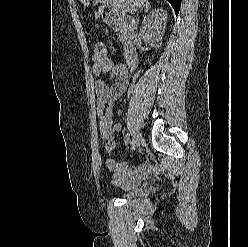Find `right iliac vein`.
I'll return each mask as SVG.
<instances>
[{
    "instance_id": "63e3f726",
    "label": "right iliac vein",
    "mask_w": 248,
    "mask_h": 247,
    "mask_svg": "<svg viewBox=\"0 0 248 247\" xmlns=\"http://www.w3.org/2000/svg\"><path fill=\"white\" fill-rule=\"evenodd\" d=\"M142 143V137L140 134H135L133 137L132 149L136 150Z\"/></svg>"
}]
</instances>
